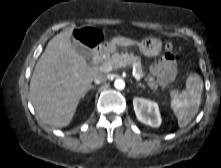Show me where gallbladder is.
<instances>
[{"label": "gallbladder", "mask_w": 221, "mask_h": 168, "mask_svg": "<svg viewBox=\"0 0 221 168\" xmlns=\"http://www.w3.org/2000/svg\"><path fill=\"white\" fill-rule=\"evenodd\" d=\"M72 46L77 51V53L80 56H82L84 59L86 60L91 59V50L87 46H85L84 44H82L81 42L77 40L72 41Z\"/></svg>", "instance_id": "bac80fb5"}]
</instances>
